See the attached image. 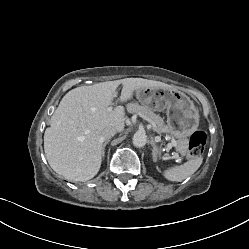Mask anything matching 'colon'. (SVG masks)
<instances>
[{
	"instance_id": "colon-1",
	"label": "colon",
	"mask_w": 249,
	"mask_h": 249,
	"mask_svg": "<svg viewBox=\"0 0 249 249\" xmlns=\"http://www.w3.org/2000/svg\"><path fill=\"white\" fill-rule=\"evenodd\" d=\"M207 141L206 134L202 131H196L189 139L188 150L192 156L199 155L205 148Z\"/></svg>"
}]
</instances>
